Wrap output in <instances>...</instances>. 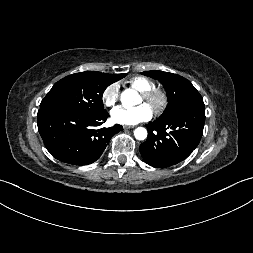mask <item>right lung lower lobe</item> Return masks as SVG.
<instances>
[{
    "label": "right lung lower lobe",
    "mask_w": 253,
    "mask_h": 253,
    "mask_svg": "<svg viewBox=\"0 0 253 253\" xmlns=\"http://www.w3.org/2000/svg\"><path fill=\"white\" fill-rule=\"evenodd\" d=\"M108 117L107 111L92 115L71 110L40 109L38 130L54 158L82 166L99 159L113 135L123 129L118 124L96 129Z\"/></svg>",
    "instance_id": "98d812e1"
}]
</instances>
